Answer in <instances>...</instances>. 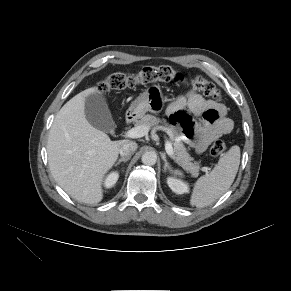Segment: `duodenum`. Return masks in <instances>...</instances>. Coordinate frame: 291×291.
Returning <instances> with one entry per match:
<instances>
[{
    "label": "duodenum",
    "mask_w": 291,
    "mask_h": 291,
    "mask_svg": "<svg viewBox=\"0 0 291 291\" xmlns=\"http://www.w3.org/2000/svg\"><path fill=\"white\" fill-rule=\"evenodd\" d=\"M135 117L134 113H128L126 116V123L131 124L135 120Z\"/></svg>",
    "instance_id": "duodenum-1"
}]
</instances>
